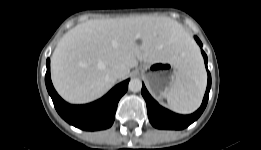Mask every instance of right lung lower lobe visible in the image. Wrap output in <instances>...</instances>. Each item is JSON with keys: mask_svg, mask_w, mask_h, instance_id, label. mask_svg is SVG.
Listing matches in <instances>:
<instances>
[{"mask_svg": "<svg viewBox=\"0 0 261 150\" xmlns=\"http://www.w3.org/2000/svg\"><path fill=\"white\" fill-rule=\"evenodd\" d=\"M45 83L59 115L69 124L87 131L109 128L115 118L118 101L128 88L129 79L116 85L103 98L86 105H70L60 98L50 78V60L47 59Z\"/></svg>", "mask_w": 261, "mask_h": 150, "instance_id": "right-lung-lower-lobe-1", "label": "right lung lower lobe"}]
</instances>
